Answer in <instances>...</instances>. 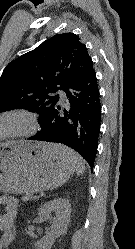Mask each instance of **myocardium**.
Instances as JSON below:
<instances>
[{
    "label": "myocardium",
    "mask_w": 135,
    "mask_h": 249,
    "mask_svg": "<svg viewBox=\"0 0 135 249\" xmlns=\"http://www.w3.org/2000/svg\"><path fill=\"white\" fill-rule=\"evenodd\" d=\"M7 118L18 119L22 123V127L14 131L0 134V141L29 138L33 136L39 128L36 114L25 108H10L0 112V121Z\"/></svg>",
    "instance_id": "1"
}]
</instances>
